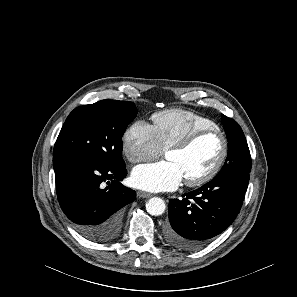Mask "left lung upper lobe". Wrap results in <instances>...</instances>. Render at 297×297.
I'll return each mask as SVG.
<instances>
[{
  "instance_id": "1",
  "label": "left lung upper lobe",
  "mask_w": 297,
  "mask_h": 297,
  "mask_svg": "<svg viewBox=\"0 0 297 297\" xmlns=\"http://www.w3.org/2000/svg\"><path fill=\"white\" fill-rule=\"evenodd\" d=\"M228 140V156L216 176H246L251 171V155L244 133L237 122L223 116L222 119Z\"/></svg>"
}]
</instances>
